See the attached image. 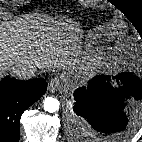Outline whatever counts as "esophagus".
<instances>
[{
    "label": "esophagus",
    "mask_w": 142,
    "mask_h": 142,
    "mask_svg": "<svg viewBox=\"0 0 142 142\" xmlns=\"http://www.w3.org/2000/svg\"><path fill=\"white\" fill-rule=\"evenodd\" d=\"M60 88V81L58 79H52L49 85L50 92L54 93Z\"/></svg>",
    "instance_id": "34e87169"
}]
</instances>
